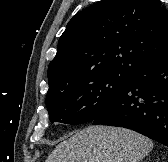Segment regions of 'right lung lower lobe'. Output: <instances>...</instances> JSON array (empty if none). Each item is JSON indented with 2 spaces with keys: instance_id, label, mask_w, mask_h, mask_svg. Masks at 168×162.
<instances>
[{
  "instance_id": "98d812e1",
  "label": "right lung lower lobe",
  "mask_w": 168,
  "mask_h": 162,
  "mask_svg": "<svg viewBox=\"0 0 168 162\" xmlns=\"http://www.w3.org/2000/svg\"><path fill=\"white\" fill-rule=\"evenodd\" d=\"M93 124L129 128L168 146V58L131 74Z\"/></svg>"
}]
</instances>
